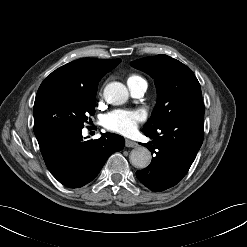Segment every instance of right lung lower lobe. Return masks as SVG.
Wrapping results in <instances>:
<instances>
[{"label":"right lung lower lobe","mask_w":247,"mask_h":247,"mask_svg":"<svg viewBox=\"0 0 247 247\" xmlns=\"http://www.w3.org/2000/svg\"><path fill=\"white\" fill-rule=\"evenodd\" d=\"M34 133L47 168L69 188H79L92 181L108 157L125 145L122 136L111 133L84 141L82 129L39 127L34 128Z\"/></svg>","instance_id":"right-lung-lower-lobe-1"}]
</instances>
